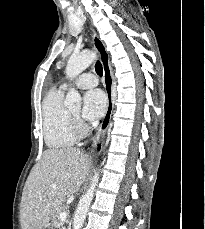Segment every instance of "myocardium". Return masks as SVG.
<instances>
[{"instance_id": "f54148a6", "label": "myocardium", "mask_w": 205, "mask_h": 229, "mask_svg": "<svg viewBox=\"0 0 205 229\" xmlns=\"http://www.w3.org/2000/svg\"><path fill=\"white\" fill-rule=\"evenodd\" d=\"M73 130L77 137L84 136L87 133V128L80 122L78 115L70 112Z\"/></svg>"}]
</instances>
